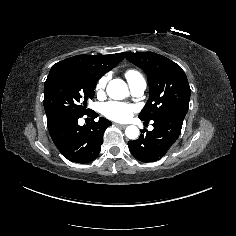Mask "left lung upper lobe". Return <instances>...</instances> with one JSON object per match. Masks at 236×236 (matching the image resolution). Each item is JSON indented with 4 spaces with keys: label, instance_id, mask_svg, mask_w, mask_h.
<instances>
[{
    "label": "left lung upper lobe",
    "instance_id": "1",
    "mask_svg": "<svg viewBox=\"0 0 236 236\" xmlns=\"http://www.w3.org/2000/svg\"><path fill=\"white\" fill-rule=\"evenodd\" d=\"M124 54L147 75L149 99L139 114L141 120H154L173 111L187 113L191 90L178 64L153 52Z\"/></svg>",
    "mask_w": 236,
    "mask_h": 236
}]
</instances>
